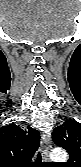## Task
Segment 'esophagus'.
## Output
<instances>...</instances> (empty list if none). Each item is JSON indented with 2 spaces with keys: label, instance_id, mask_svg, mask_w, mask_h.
Masks as SVG:
<instances>
[{
  "label": "esophagus",
  "instance_id": "esophagus-1",
  "mask_svg": "<svg viewBox=\"0 0 81 167\" xmlns=\"http://www.w3.org/2000/svg\"><path fill=\"white\" fill-rule=\"evenodd\" d=\"M51 147L50 135L43 134L41 137L42 156L45 162L49 161V151Z\"/></svg>",
  "mask_w": 81,
  "mask_h": 167
}]
</instances>
